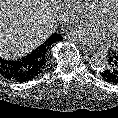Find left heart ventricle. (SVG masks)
I'll list each match as a JSON object with an SVG mask.
<instances>
[{"label": "left heart ventricle", "mask_w": 118, "mask_h": 118, "mask_svg": "<svg viewBox=\"0 0 118 118\" xmlns=\"http://www.w3.org/2000/svg\"><path fill=\"white\" fill-rule=\"evenodd\" d=\"M92 21L104 29L112 44H118V4L109 14L97 13Z\"/></svg>", "instance_id": "obj_1"}]
</instances>
